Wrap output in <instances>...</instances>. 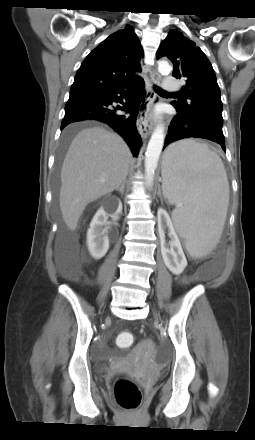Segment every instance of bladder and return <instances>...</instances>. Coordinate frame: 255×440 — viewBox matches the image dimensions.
Masks as SVG:
<instances>
[{"instance_id":"obj_1","label":"bladder","mask_w":255,"mask_h":440,"mask_svg":"<svg viewBox=\"0 0 255 440\" xmlns=\"http://www.w3.org/2000/svg\"><path fill=\"white\" fill-rule=\"evenodd\" d=\"M140 347L146 349L148 347V344L145 341H142L140 343ZM96 371L99 375L101 376L104 375L107 371V361L105 360L97 361Z\"/></svg>"}]
</instances>
